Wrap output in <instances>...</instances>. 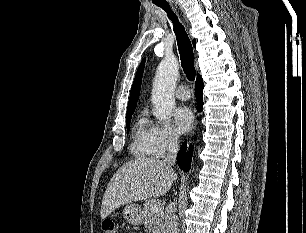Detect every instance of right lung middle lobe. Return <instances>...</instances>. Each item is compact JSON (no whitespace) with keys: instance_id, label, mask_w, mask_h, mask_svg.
<instances>
[{"instance_id":"obj_1","label":"right lung middle lobe","mask_w":306,"mask_h":233,"mask_svg":"<svg viewBox=\"0 0 306 233\" xmlns=\"http://www.w3.org/2000/svg\"><path fill=\"white\" fill-rule=\"evenodd\" d=\"M132 114L126 115L127 116V118H126L127 132H129V126H130V121H131Z\"/></svg>"}]
</instances>
